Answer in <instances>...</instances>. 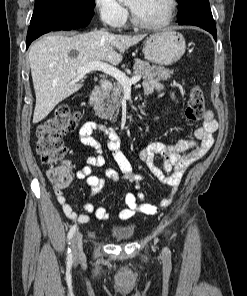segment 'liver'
<instances>
[{
    "instance_id": "6515ba94",
    "label": "liver",
    "mask_w": 247,
    "mask_h": 296,
    "mask_svg": "<svg viewBox=\"0 0 247 296\" xmlns=\"http://www.w3.org/2000/svg\"><path fill=\"white\" fill-rule=\"evenodd\" d=\"M144 37L93 30L70 37L50 34L35 42L29 51L36 95L33 123L45 119L58 103L82 88V76L77 73L80 67L97 61L118 65L125 50ZM72 50L78 52L75 58L69 56Z\"/></svg>"
}]
</instances>
